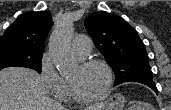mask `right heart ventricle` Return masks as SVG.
<instances>
[{
  "mask_svg": "<svg viewBox=\"0 0 171 110\" xmlns=\"http://www.w3.org/2000/svg\"><path fill=\"white\" fill-rule=\"evenodd\" d=\"M70 98L68 83L64 80V88L62 94L58 97L60 100H67Z\"/></svg>",
  "mask_w": 171,
  "mask_h": 110,
  "instance_id": "e07e8e85",
  "label": "right heart ventricle"
}]
</instances>
